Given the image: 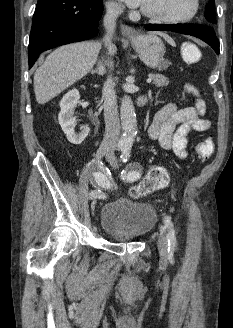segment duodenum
I'll use <instances>...</instances> for the list:
<instances>
[{
  "instance_id": "obj_1",
  "label": "duodenum",
  "mask_w": 233,
  "mask_h": 328,
  "mask_svg": "<svg viewBox=\"0 0 233 328\" xmlns=\"http://www.w3.org/2000/svg\"><path fill=\"white\" fill-rule=\"evenodd\" d=\"M148 103V98L146 95H141L136 99V105L139 107H143Z\"/></svg>"
}]
</instances>
